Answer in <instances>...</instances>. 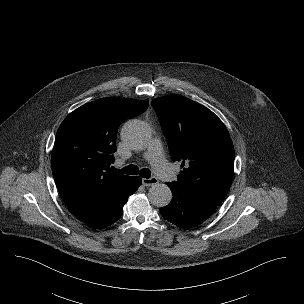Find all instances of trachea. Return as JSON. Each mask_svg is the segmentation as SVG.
Masks as SVG:
<instances>
[{"instance_id":"obj_1","label":"trachea","mask_w":304,"mask_h":304,"mask_svg":"<svg viewBox=\"0 0 304 304\" xmlns=\"http://www.w3.org/2000/svg\"><path fill=\"white\" fill-rule=\"evenodd\" d=\"M120 172L127 175H140L143 178H150L151 177V171L147 168H143L139 170V168L136 165H128L122 169H120Z\"/></svg>"}]
</instances>
